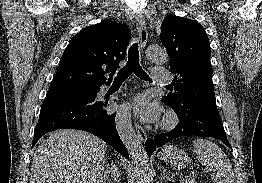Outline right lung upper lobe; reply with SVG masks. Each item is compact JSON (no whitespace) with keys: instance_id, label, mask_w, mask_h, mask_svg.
<instances>
[{"instance_id":"right-lung-upper-lobe-1","label":"right lung upper lobe","mask_w":262,"mask_h":183,"mask_svg":"<svg viewBox=\"0 0 262 183\" xmlns=\"http://www.w3.org/2000/svg\"><path fill=\"white\" fill-rule=\"evenodd\" d=\"M131 31L126 24L102 21L76 34L66 47L48 91L110 84L125 58ZM111 72L108 82L105 74Z\"/></svg>"}]
</instances>
